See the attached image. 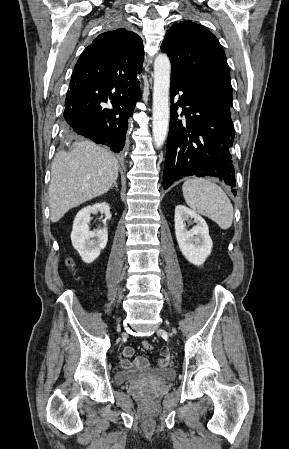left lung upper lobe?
<instances>
[{
  "label": "left lung upper lobe",
  "mask_w": 289,
  "mask_h": 449,
  "mask_svg": "<svg viewBox=\"0 0 289 449\" xmlns=\"http://www.w3.org/2000/svg\"><path fill=\"white\" fill-rule=\"evenodd\" d=\"M161 50L171 61V77L189 80L215 103L230 111L232 86L225 52L204 26L191 21L173 25Z\"/></svg>",
  "instance_id": "obj_1"
}]
</instances>
